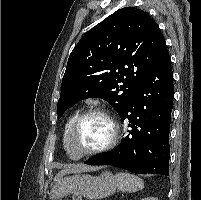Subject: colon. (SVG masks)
<instances>
[{"mask_svg": "<svg viewBox=\"0 0 201 200\" xmlns=\"http://www.w3.org/2000/svg\"><path fill=\"white\" fill-rule=\"evenodd\" d=\"M72 200H81V199L78 196H74Z\"/></svg>", "mask_w": 201, "mask_h": 200, "instance_id": "obj_1", "label": "colon"}]
</instances>
